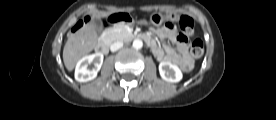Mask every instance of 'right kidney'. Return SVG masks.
Listing matches in <instances>:
<instances>
[{"instance_id":"right-kidney-1","label":"right kidney","mask_w":276,"mask_h":120,"mask_svg":"<svg viewBox=\"0 0 276 120\" xmlns=\"http://www.w3.org/2000/svg\"><path fill=\"white\" fill-rule=\"evenodd\" d=\"M103 58L102 53H95L81 58L75 68V79L79 82H88L96 78L103 64ZM91 64L94 65L92 69L89 68Z\"/></svg>"}]
</instances>
